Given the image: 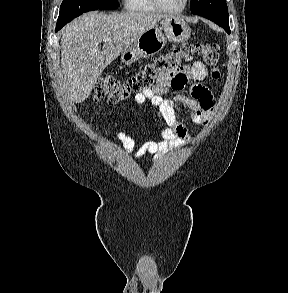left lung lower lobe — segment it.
<instances>
[{
	"label": "left lung lower lobe",
	"instance_id": "obj_1",
	"mask_svg": "<svg viewBox=\"0 0 288 293\" xmlns=\"http://www.w3.org/2000/svg\"><path fill=\"white\" fill-rule=\"evenodd\" d=\"M228 34H230V28H224Z\"/></svg>",
	"mask_w": 288,
	"mask_h": 293
}]
</instances>
